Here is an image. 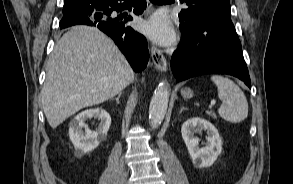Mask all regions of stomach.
<instances>
[{"mask_svg": "<svg viewBox=\"0 0 293 184\" xmlns=\"http://www.w3.org/2000/svg\"><path fill=\"white\" fill-rule=\"evenodd\" d=\"M181 94L185 98H191L193 96V91L189 88H185L181 91Z\"/></svg>", "mask_w": 293, "mask_h": 184, "instance_id": "stomach-1", "label": "stomach"}]
</instances>
